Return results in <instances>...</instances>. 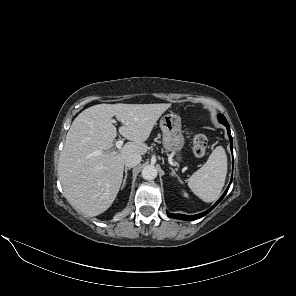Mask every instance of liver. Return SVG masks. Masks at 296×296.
Returning a JSON list of instances; mask_svg holds the SVG:
<instances>
[{
  "label": "liver",
  "mask_w": 296,
  "mask_h": 296,
  "mask_svg": "<svg viewBox=\"0 0 296 296\" xmlns=\"http://www.w3.org/2000/svg\"><path fill=\"white\" fill-rule=\"evenodd\" d=\"M171 106L161 104H98L73 121L59 157L58 177L70 205L90 217L105 212L114 202L123 179L124 161L144 155L145 141L161 115ZM129 140L115 151L117 129Z\"/></svg>",
  "instance_id": "obj_1"
}]
</instances>
